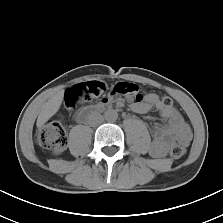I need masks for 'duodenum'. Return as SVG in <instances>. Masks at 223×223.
Wrapping results in <instances>:
<instances>
[{"label": "duodenum", "instance_id": "1", "mask_svg": "<svg viewBox=\"0 0 223 223\" xmlns=\"http://www.w3.org/2000/svg\"><path fill=\"white\" fill-rule=\"evenodd\" d=\"M105 108H107L106 105H99V106H95L92 109H86L80 113V118L82 120H87L92 114Z\"/></svg>", "mask_w": 223, "mask_h": 223}]
</instances>
